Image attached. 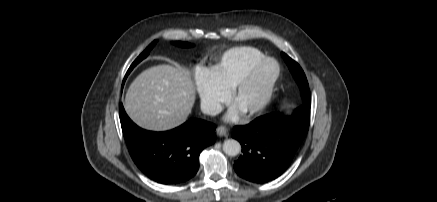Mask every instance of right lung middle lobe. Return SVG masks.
Here are the masks:
<instances>
[{
  "label": "right lung middle lobe",
  "mask_w": 437,
  "mask_h": 202,
  "mask_svg": "<svg viewBox=\"0 0 437 202\" xmlns=\"http://www.w3.org/2000/svg\"><path fill=\"white\" fill-rule=\"evenodd\" d=\"M155 44H156V40L155 41H153L144 51H143V53H141L140 55H139V57H137V59L132 63V65L130 66V68L128 69V71H127V73H126V75H125V78H124V81H125V79H126V77L128 76V74L132 71V69L140 62V61H142L144 58H146L147 56H148V54H149V52L151 51V49L155 46ZM174 44H176V45H178V46H182V47H190V46H192L191 44H189V43H185V42H175ZM124 81H123V84H124Z\"/></svg>",
  "instance_id": "1"
}]
</instances>
